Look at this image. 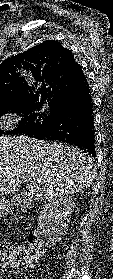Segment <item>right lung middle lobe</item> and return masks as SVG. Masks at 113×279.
<instances>
[{
    "label": "right lung middle lobe",
    "instance_id": "1",
    "mask_svg": "<svg viewBox=\"0 0 113 279\" xmlns=\"http://www.w3.org/2000/svg\"><path fill=\"white\" fill-rule=\"evenodd\" d=\"M7 111L20 114L23 119L18 123V127L14 130L4 132L0 129V135L4 133L10 135H22L25 134L27 131H30L54 120L58 115L59 107L57 105L48 103H35L12 107H2L0 108V115L4 114V112Z\"/></svg>",
    "mask_w": 113,
    "mask_h": 279
}]
</instances>
